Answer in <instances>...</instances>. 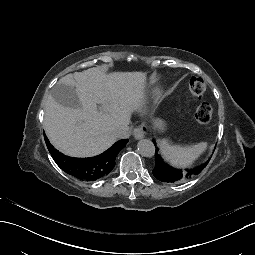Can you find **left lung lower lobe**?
Returning <instances> with one entry per match:
<instances>
[{
    "label": "left lung lower lobe",
    "instance_id": "obj_1",
    "mask_svg": "<svg viewBox=\"0 0 255 255\" xmlns=\"http://www.w3.org/2000/svg\"><path fill=\"white\" fill-rule=\"evenodd\" d=\"M153 145H158V140H153ZM158 154H163V149H158ZM163 160L164 157L162 155H159L157 159H154L153 167L150 170L151 175L160 179V181L166 183H175L193 178L197 172H200L211 162L212 157L207 155L199 165L193 167L192 169L190 168V165L186 164L175 165V168L183 167L185 169L174 171L167 169L168 163H163ZM171 169H174V166H171Z\"/></svg>",
    "mask_w": 255,
    "mask_h": 255
}]
</instances>
